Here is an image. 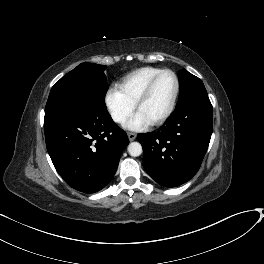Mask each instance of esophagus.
<instances>
[{
    "mask_svg": "<svg viewBox=\"0 0 264 264\" xmlns=\"http://www.w3.org/2000/svg\"><path fill=\"white\" fill-rule=\"evenodd\" d=\"M136 136H137L136 133H133V132H129L128 133V138H129L130 141L135 140Z\"/></svg>",
    "mask_w": 264,
    "mask_h": 264,
    "instance_id": "34e87169",
    "label": "esophagus"
}]
</instances>
